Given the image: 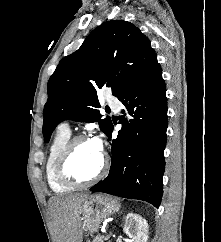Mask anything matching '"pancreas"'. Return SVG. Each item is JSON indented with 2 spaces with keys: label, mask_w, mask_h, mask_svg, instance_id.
<instances>
[{
  "label": "pancreas",
  "mask_w": 221,
  "mask_h": 242,
  "mask_svg": "<svg viewBox=\"0 0 221 242\" xmlns=\"http://www.w3.org/2000/svg\"><path fill=\"white\" fill-rule=\"evenodd\" d=\"M105 238L103 236H95L94 239L92 240V242H104ZM90 242V241H88Z\"/></svg>",
  "instance_id": "cf45deb5"
}]
</instances>
